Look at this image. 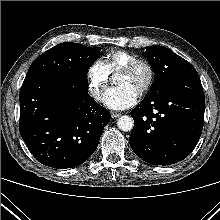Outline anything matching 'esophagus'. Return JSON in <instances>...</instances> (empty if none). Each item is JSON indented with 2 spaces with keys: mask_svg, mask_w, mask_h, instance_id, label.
<instances>
[{
  "mask_svg": "<svg viewBox=\"0 0 220 220\" xmlns=\"http://www.w3.org/2000/svg\"><path fill=\"white\" fill-rule=\"evenodd\" d=\"M111 116L112 118H118L121 116V113H118V112H111Z\"/></svg>",
  "mask_w": 220,
  "mask_h": 220,
  "instance_id": "obj_1",
  "label": "esophagus"
}]
</instances>
